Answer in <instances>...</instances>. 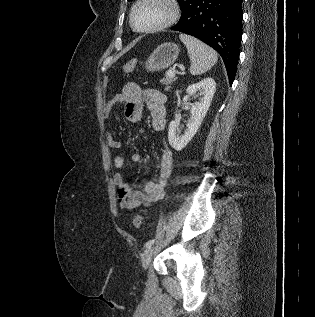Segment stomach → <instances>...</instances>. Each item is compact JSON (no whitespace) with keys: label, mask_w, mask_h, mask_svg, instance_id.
<instances>
[{"label":"stomach","mask_w":315,"mask_h":317,"mask_svg":"<svg viewBox=\"0 0 315 317\" xmlns=\"http://www.w3.org/2000/svg\"><path fill=\"white\" fill-rule=\"evenodd\" d=\"M179 47L175 43L159 45L144 63L148 72L160 71L172 65L179 55Z\"/></svg>","instance_id":"0dacf381"}]
</instances>
